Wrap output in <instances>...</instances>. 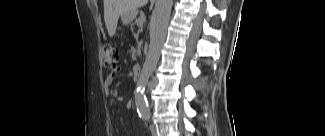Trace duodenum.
I'll list each match as a JSON object with an SVG mask.
<instances>
[{
  "label": "duodenum",
  "instance_id": "1",
  "mask_svg": "<svg viewBox=\"0 0 325 136\" xmlns=\"http://www.w3.org/2000/svg\"><path fill=\"white\" fill-rule=\"evenodd\" d=\"M141 72V65L140 64H135L132 70L133 76L137 77Z\"/></svg>",
  "mask_w": 325,
  "mask_h": 136
}]
</instances>
